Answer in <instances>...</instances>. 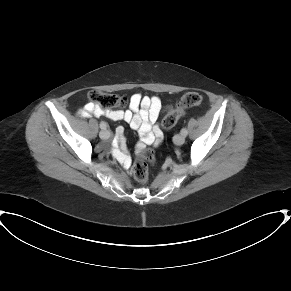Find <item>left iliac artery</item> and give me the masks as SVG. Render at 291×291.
Masks as SVG:
<instances>
[{
	"instance_id": "44dca946",
	"label": "left iliac artery",
	"mask_w": 291,
	"mask_h": 291,
	"mask_svg": "<svg viewBox=\"0 0 291 291\" xmlns=\"http://www.w3.org/2000/svg\"><path fill=\"white\" fill-rule=\"evenodd\" d=\"M181 134H183L184 136H186V135L188 134L187 129H186V128H183V129L181 130Z\"/></svg>"
}]
</instances>
